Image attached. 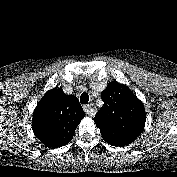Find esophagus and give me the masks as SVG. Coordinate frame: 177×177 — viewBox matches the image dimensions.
<instances>
[{
    "mask_svg": "<svg viewBox=\"0 0 177 177\" xmlns=\"http://www.w3.org/2000/svg\"><path fill=\"white\" fill-rule=\"evenodd\" d=\"M83 109H84V112L90 116H93L94 115V110L93 108L91 107V105L89 104H86L83 106Z\"/></svg>",
    "mask_w": 177,
    "mask_h": 177,
    "instance_id": "esophagus-1",
    "label": "esophagus"
}]
</instances>
